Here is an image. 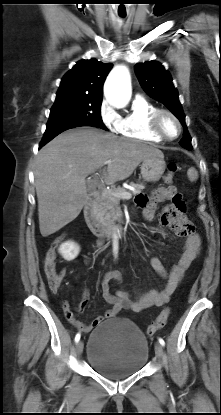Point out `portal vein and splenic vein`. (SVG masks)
Listing matches in <instances>:
<instances>
[{
	"mask_svg": "<svg viewBox=\"0 0 221 415\" xmlns=\"http://www.w3.org/2000/svg\"><path fill=\"white\" fill-rule=\"evenodd\" d=\"M112 163L111 160H107L104 162L105 165H110ZM115 197L117 198H122V199H130L131 198V193L128 191H121V192H116V193H112Z\"/></svg>",
	"mask_w": 221,
	"mask_h": 415,
	"instance_id": "obj_1",
	"label": "portal vein and splenic vein"
}]
</instances>
